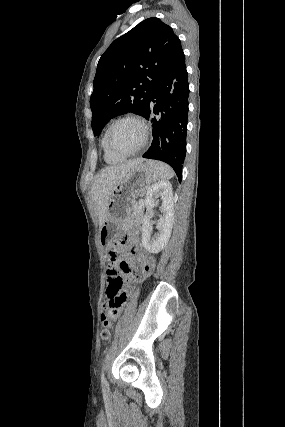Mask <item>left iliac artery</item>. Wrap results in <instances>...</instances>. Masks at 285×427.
Masks as SVG:
<instances>
[{"label":"left iliac artery","mask_w":285,"mask_h":427,"mask_svg":"<svg viewBox=\"0 0 285 427\" xmlns=\"http://www.w3.org/2000/svg\"><path fill=\"white\" fill-rule=\"evenodd\" d=\"M103 369H104V364H103V367H102L101 382H102V384H104V385H106V386H107V385H108V383H107L106 378H105V376H104Z\"/></svg>","instance_id":"44dca946"}]
</instances>
